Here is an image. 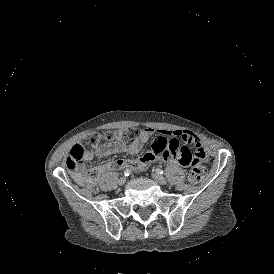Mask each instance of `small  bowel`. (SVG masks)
I'll list each match as a JSON object with an SVG mask.
<instances>
[{
    "label": "small bowel",
    "mask_w": 274,
    "mask_h": 274,
    "mask_svg": "<svg viewBox=\"0 0 274 274\" xmlns=\"http://www.w3.org/2000/svg\"><path fill=\"white\" fill-rule=\"evenodd\" d=\"M170 135L178 137L185 143L194 147L195 152L189 146L177 139H169L167 136H160L152 144V151H141L136 160L117 159L113 162L104 163L96 167L95 172L102 174L112 169L135 168L138 170H146L150 165L160 163L162 160L171 162L172 164H180L181 166H190L195 160H204L206 151L202 141L194 133L190 131L176 130L165 131L156 130L152 127H145L139 131L137 138L130 143L120 141H108L102 143L94 149L93 152H86L83 155L85 162L91 161L94 155L106 157L111 154L129 152L131 154L138 153L141 148L150 141L154 134ZM73 179L85 184L89 182L92 176L87 172H74Z\"/></svg>",
    "instance_id": "small-bowel-1"
}]
</instances>
